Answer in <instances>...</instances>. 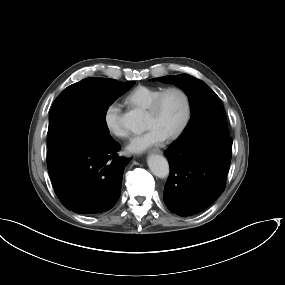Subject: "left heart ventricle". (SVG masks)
Returning a JSON list of instances; mask_svg holds the SVG:
<instances>
[{"mask_svg": "<svg viewBox=\"0 0 285 285\" xmlns=\"http://www.w3.org/2000/svg\"><path fill=\"white\" fill-rule=\"evenodd\" d=\"M185 113L183 97L175 91L169 92L162 100L155 114L147 113V128H157L165 136L173 133L181 124Z\"/></svg>", "mask_w": 285, "mask_h": 285, "instance_id": "b2bd125f", "label": "left heart ventricle"}]
</instances>
